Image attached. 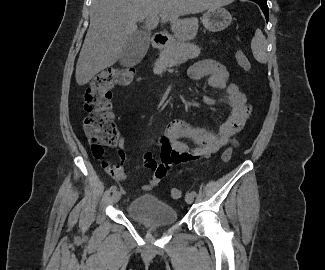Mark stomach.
Wrapping results in <instances>:
<instances>
[{
  "label": "stomach",
  "instance_id": "obj_1",
  "mask_svg": "<svg viewBox=\"0 0 325 270\" xmlns=\"http://www.w3.org/2000/svg\"><path fill=\"white\" fill-rule=\"evenodd\" d=\"M232 21L231 14L224 8H209L202 17V22L205 28L212 32H217L226 29ZM177 41L184 42L191 38L180 39L176 37ZM175 44L172 41V45Z\"/></svg>",
  "mask_w": 325,
  "mask_h": 270
}]
</instances>
